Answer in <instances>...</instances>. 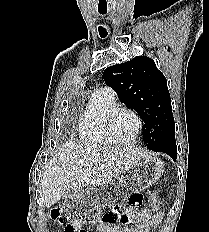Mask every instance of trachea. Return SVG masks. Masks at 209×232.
I'll return each instance as SVG.
<instances>
[{
    "label": "trachea",
    "instance_id": "1",
    "mask_svg": "<svg viewBox=\"0 0 209 232\" xmlns=\"http://www.w3.org/2000/svg\"><path fill=\"white\" fill-rule=\"evenodd\" d=\"M106 12H100V14H105Z\"/></svg>",
    "mask_w": 209,
    "mask_h": 232
}]
</instances>
